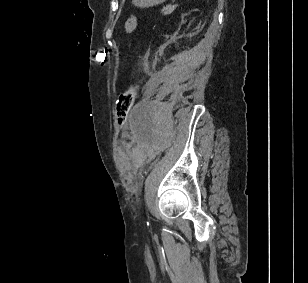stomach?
Returning a JSON list of instances; mask_svg holds the SVG:
<instances>
[{
	"label": "stomach",
	"mask_w": 308,
	"mask_h": 283,
	"mask_svg": "<svg viewBox=\"0 0 308 283\" xmlns=\"http://www.w3.org/2000/svg\"><path fill=\"white\" fill-rule=\"evenodd\" d=\"M166 0H133V4L137 7L145 8L161 4Z\"/></svg>",
	"instance_id": "1"
}]
</instances>
